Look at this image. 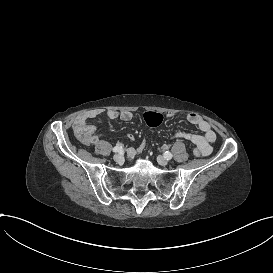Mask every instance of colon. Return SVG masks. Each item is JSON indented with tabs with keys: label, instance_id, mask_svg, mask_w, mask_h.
Wrapping results in <instances>:
<instances>
[{
	"label": "colon",
	"instance_id": "colon-1",
	"mask_svg": "<svg viewBox=\"0 0 273 273\" xmlns=\"http://www.w3.org/2000/svg\"><path fill=\"white\" fill-rule=\"evenodd\" d=\"M145 121L150 126H157L164 122V116L161 113H146ZM97 122V117L93 113H81L72 120V127L75 134L83 144H88L92 140V135L87 126H93ZM147 138L143 137L139 140V153L146 152Z\"/></svg>",
	"mask_w": 273,
	"mask_h": 273
}]
</instances>
